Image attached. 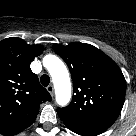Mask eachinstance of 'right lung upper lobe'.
Listing matches in <instances>:
<instances>
[{"label":"right lung upper lobe","instance_id":"right-lung-upper-lobe-1","mask_svg":"<svg viewBox=\"0 0 136 136\" xmlns=\"http://www.w3.org/2000/svg\"><path fill=\"white\" fill-rule=\"evenodd\" d=\"M43 52L41 45H28L17 37L0 41V134L13 136L29 127L42 102L51 101L30 69Z\"/></svg>","mask_w":136,"mask_h":136}]
</instances>
